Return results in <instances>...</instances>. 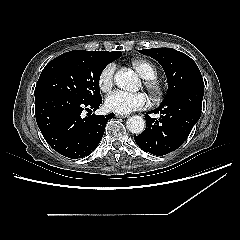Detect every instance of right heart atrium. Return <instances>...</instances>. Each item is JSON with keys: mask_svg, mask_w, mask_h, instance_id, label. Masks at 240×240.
Here are the masks:
<instances>
[{"mask_svg": "<svg viewBox=\"0 0 240 240\" xmlns=\"http://www.w3.org/2000/svg\"><path fill=\"white\" fill-rule=\"evenodd\" d=\"M115 71L116 65L114 63H108L101 69L98 76V86L102 92H108L113 87Z\"/></svg>", "mask_w": 240, "mask_h": 240, "instance_id": "d8ad5b80", "label": "right heart atrium"}]
</instances>
